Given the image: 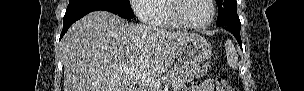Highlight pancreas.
Wrapping results in <instances>:
<instances>
[{"label":"pancreas","mask_w":304,"mask_h":91,"mask_svg":"<svg viewBox=\"0 0 304 91\" xmlns=\"http://www.w3.org/2000/svg\"><path fill=\"white\" fill-rule=\"evenodd\" d=\"M207 70V66L197 68L175 66L167 72L166 77L171 80L173 85L182 88L186 83L193 81L195 78L203 77Z\"/></svg>","instance_id":"1"}]
</instances>
